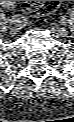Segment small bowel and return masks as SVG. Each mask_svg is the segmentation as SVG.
Instances as JSON below:
<instances>
[{"mask_svg": "<svg viewBox=\"0 0 74 122\" xmlns=\"http://www.w3.org/2000/svg\"><path fill=\"white\" fill-rule=\"evenodd\" d=\"M13 4H14V1H1V5L6 6V7H11L13 6Z\"/></svg>", "mask_w": 74, "mask_h": 122, "instance_id": "c3829d8e", "label": "small bowel"}]
</instances>
